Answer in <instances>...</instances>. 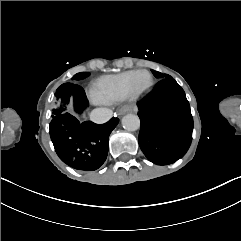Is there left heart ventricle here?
<instances>
[{"label": "left heart ventricle", "instance_id": "b2bd125f", "mask_svg": "<svg viewBox=\"0 0 241 241\" xmlns=\"http://www.w3.org/2000/svg\"><path fill=\"white\" fill-rule=\"evenodd\" d=\"M149 83V78L147 76H142L135 82H132L128 85V91L131 96H138L144 92V87Z\"/></svg>", "mask_w": 241, "mask_h": 241}]
</instances>
